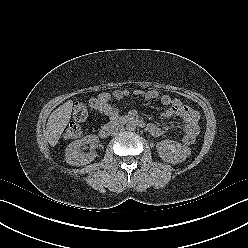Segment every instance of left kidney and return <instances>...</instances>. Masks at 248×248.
<instances>
[{
	"instance_id": "5707ae66",
	"label": "left kidney",
	"mask_w": 248,
	"mask_h": 248,
	"mask_svg": "<svg viewBox=\"0 0 248 248\" xmlns=\"http://www.w3.org/2000/svg\"><path fill=\"white\" fill-rule=\"evenodd\" d=\"M157 150L162 160L172 164L183 162L191 154L189 147L173 140H162Z\"/></svg>"
}]
</instances>
